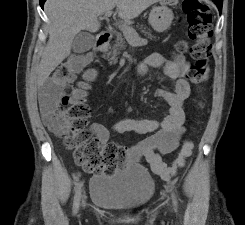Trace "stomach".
<instances>
[{"label":"stomach","instance_id":"stomach-1","mask_svg":"<svg viewBox=\"0 0 245 225\" xmlns=\"http://www.w3.org/2000/svg\"><path fill=\"white\" fill-rule=\"evenodd\" d=\"M174 14L170 8L162 4L155 6L149 14V24L156 32H164L170 28Z\"/></svg>","mask_w":245,"mask_h":225}]
</instances>
